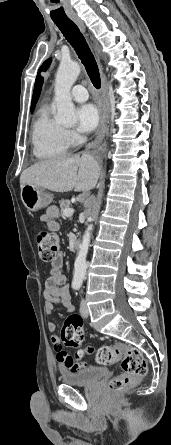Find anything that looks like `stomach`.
I'll return each instance as SVG.
<instances>
[{
	"mask_svg": "<svg viewBox=\"0 0 171 445\" xmlns=\"http://www.w3.org/2000/svg\"><path fill=\"white\" fill-rule=\"evenodd\" d=\"M21 200L27 210L36 212L47 207L53 200L44 188L32 184H26L21 188Z\"/></svg>",
	"mask_w": 171,
	"mask_h": 445,
	"instance_id": "1",
	"label": "stomach"
}]
</instances>
